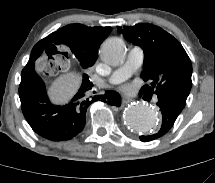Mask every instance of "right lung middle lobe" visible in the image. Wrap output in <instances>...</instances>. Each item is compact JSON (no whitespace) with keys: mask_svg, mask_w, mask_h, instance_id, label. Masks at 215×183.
<instances>
[{"mask_svg":"<svg viewBox=\"0 0 215 183\" xmlns=\"http://www.w3.org/2000/svg\"><path fill=\"white\" fill-rule=\"evenodd\" d=\"M48 39H53L52 34L47 37ZM71 51L74 53L75 57L79 60L80 65L82 68H88L93 65L95 62V58L90 57L87 55L84 50L82 49L81 45L77 41H69L67 44ZM57 53V51H55ZM67 56V53H64Z\"/></svg>","mask_w":215,"mask_h":183,"instance_id":"right-lung-middle-lobe-1","label":"right lung middle lobe"}]
</instances>
